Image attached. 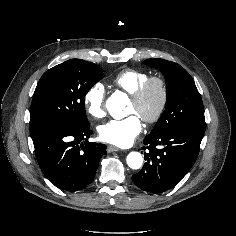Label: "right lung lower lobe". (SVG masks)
<instances>
[{"mask_svg": "<svg viewBox=\"0 0 236 236\" xmlns=\"http://www.w3.org/2000/svg\"><path fill=\"white\" fill-rule=\"evenodd\" d=\"M35 155L44 175L58 188L78 191L89 185L99 161L106 152L104 144L81 143L92 134L89 123L65 125L51 121L30 123Z\"/></svg>", "mask_w": 236, "mask_h": 236, "instance_id": "obj_1", "label": "right lung lower lobe"}]
</instances>
